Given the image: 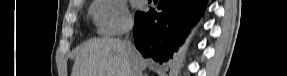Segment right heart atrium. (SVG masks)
<instances>
[{"instance_id": "right-heart-atrium-1", "label": "right heart atrium", "mask_w": 287, "mask_h": 76, "mask_svg": "<svg viewBox=\"0 0 287 76\" xmlns=\"http://www.w3.org/2000/svg\"><path fill=\"white\" fill-rule=\"evenodd\" d=\"M92 13L100 32L107 36L127 31L132 23L129 10L122 0H97Z\"/></svg>"}]
</instances>
